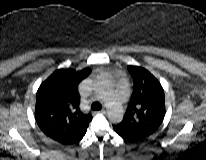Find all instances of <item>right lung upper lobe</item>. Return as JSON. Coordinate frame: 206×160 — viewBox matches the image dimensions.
<instances>
[{"instance_id": "1", "label": "right lung upper lobe", "mask_w": 206, "mask_h": 160, "mask_svg": "<svg viewBox=\"0 0 206 160\" xmlns=\"http://www.w3.org/2000/svg\"><path fill=\"white\" fill-rule=\"evenodd\" d=\"M80 81L74 70H57L37 92L36 121L47 136L62 144L80 140L92 120L90 114H84L79 109L77 87Z\"/></svg>"}]
</instances>
